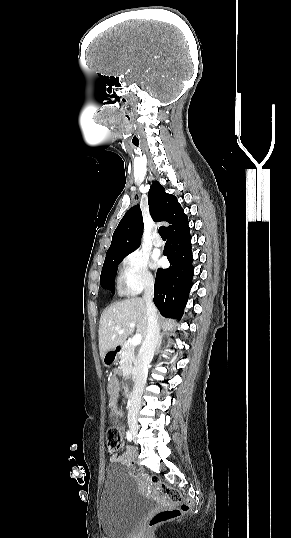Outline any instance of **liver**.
Segmentation results:
<instances>
[{
  "mask_svg": "<svg viewBox=\"0 0 291 538\" xmlns=\"http://www.w3.org/2000/svg\"><path fill=\"white\" fill-rule=\"evenodd\" d=\"M135 323L134 327L129 324ZM174 322L165 320L164 331L172 330ZM140 334L145 339L147 332V309L145 300L139 297L128 298L109 305L101 314L99 322L100 357L117 346L122 345L128 336Z\"/></svg>",
  "mask_w": 291,
  "mask_h": 538,
  "instance_id": "obj_1",
  "label": "liver"
}]
</instances>
